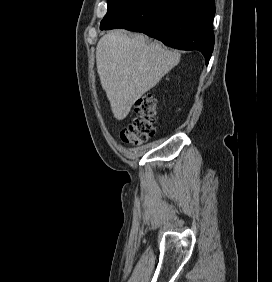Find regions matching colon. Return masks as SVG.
Returning <instances> with one entry per match:
<instances>
[{
    "label": "colon",
    "mask_w": 272,
    "mask_h": 282,
    "mask_svg": "<svg viewBox=\"0 0 272 282\" xmlns=\"http://www.w3.org/2000/svg\"><path fill=\"white\" fill-rule=\"evenodd\" d=\"M133 108L136 116L121 132L120 139L123 143L139 146L155 133L158 114L156 98L153 95L144 96L135 102Z\"/></svg>",
    "instance_id": "obj_1"
}]
</instances>
